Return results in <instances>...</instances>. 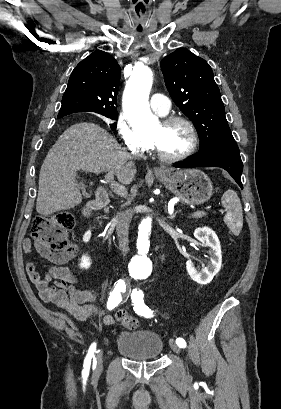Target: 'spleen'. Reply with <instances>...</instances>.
<instances>
[{
    "instance_id": "obj_1",
    "label": "spleen",
    "mask_w": 281,
    "mask_h": 409,
    "mask_svg": "<svg viewBox=\"0 0 281 409\" xmlns=\"http://www.w3.org/2000/svg\"><path fill=\"white\" fill-rule=\"evenodd\" d=\"M222 205L227 213L224 217V223L229 227L233 235H240L243 227V211L240 198L232 188L225 190L222 196Z\"/></svg>"
}]
</instances>
